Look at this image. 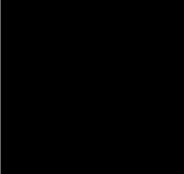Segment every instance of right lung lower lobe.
<instances>
[{
    "label": "right lung lower lobe",
    "mask_w": 184,
    "mask_h": 174,
    "mask_svg": "<svg viewBox=\"0 0 184 174\" xmlns=\"http://www.w3.org/2000/svg\"><path fill=\"white\" fill-rule=\"evenodd\" d=\"M77 119L73 118L53 132H43L35 135L37 141L53 149H63L69 146L75 138Z\"/></svg>",
    "instance_id": "98d812e1"
}]
</instances>
